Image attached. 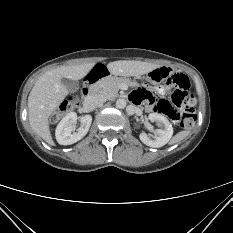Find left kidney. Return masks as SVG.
Listing matches in <instances>:
<instances>
[{
	"mask_svg": "<svg viewBox=\"0 0 233 233\" xmlns=\"http://www.w3.org/2000/svg\"><path fill=\"white\" fill-rule=\"evenodd\" d=\"M151 122H156L160 127L156 129L157 136L154 139L148 137L145 132L140 133V140L147 146L159 148L169 142L173 135V127L166 117L158 113H151L148 116Z\"/></svg>",
	"mask_w": 233,
	"mask_h": 233,
	"instance_id": "1",
	"label": "left kidney"
}]
</instances>
